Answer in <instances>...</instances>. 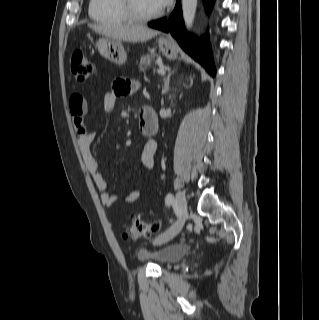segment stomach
<instances>
[{
  "label": "stomach",
  "instance_id": "stomach-1",
  "mask_svg": "<svg viewBox=\"0 0 319 320\" xmlns=\"http://www.w3.org/2000/svg\"><path fill=\"white\" fill-rule=\"evenodd\" d=\"M157 43L163 56L168 59L177 57V47L173 39L160 37ZM96 48L102 57L115 64L123 65L127 60L126 51L120 40L105 36L97 40Z\"/></svg>",
  "mask_w": 319,
  "mask_h": 320
}]
</instances>
